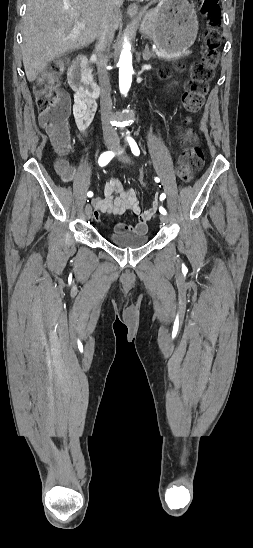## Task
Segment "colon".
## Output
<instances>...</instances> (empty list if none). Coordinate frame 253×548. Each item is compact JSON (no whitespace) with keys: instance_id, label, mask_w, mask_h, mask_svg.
Segmentation results:
<instances>
[{"instance_id":"1","label":"colon","mask_w":253,"mask_h":548,"mask_svg":"<svg viewBox=\"0 0 253 548\" xmlns=\"http://www.w3.org/2000/svg\"><path fill=\"white\" fill-rule=\"evenodd\" d=\"M208 17V27L204 34V53L200 60L191 67L190 79L184 87L182 98L183 109L189 114L197 113L208 91V83L213 78L219 60V49L222 44L220 33V7L218 0H194ZM62 69L59 62L53 63L37 78L34 85L36 104L39 111L40 123L50 133L59 151L65 152L69 145V131L67 119L70 104L67 96L59 88L58 74ZM170 75L168 70L162 73L163 77ZM184 150L179 159L177 175L183 182H189L195 173L203 166L204 156L198 146L196 134L191 130L182 132ZM59 170L63 173L68 166L59 163ZM140 183H146L144 169L138 170ZM146 187L144 184L141 186Z\"/></svg>"}]
</instances>
